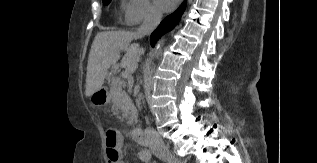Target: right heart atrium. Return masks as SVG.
I'll use <instances>...</instances> for the list:
<instances>
[{"label":"right heart atrium","instance_id":"right-heart-atrium-1","mask_svg":"<svg viewBox=\"0 0 317 163\" xmlns=\"http://www.w3.org/2000/svg\"><path fill=\"white\" fill-rule=\"evenodd\" d=\"M122 13L124 22L130 26L154 21L160 17V11L151 0H123Z\"/></svg>","mask_w":317,"mask_h":163}]
</instances>
